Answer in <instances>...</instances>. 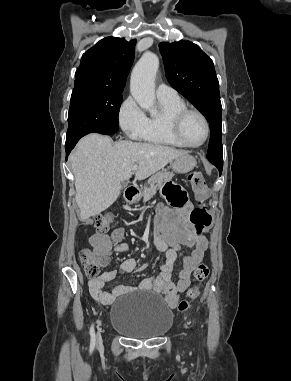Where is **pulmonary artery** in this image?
Segmentation results:
<instances>
[{
  "mask_svg": "<svg viewBox=\"0 0 291 381\" xmlns=\"http://www.w3.org/2000/svg\"><path fill=\"white\" fill-rule=\"evenodd\" d=\"M156 95L158 98H175L178 96V93L174 88L170 87L169 85L160 83L157 86Z\"/></svg>",
  "mask_w": 291,
  "mask_h": 381,
  "instance_id": "1",
  "label": "pulmonary artery"
}]
</instances>
